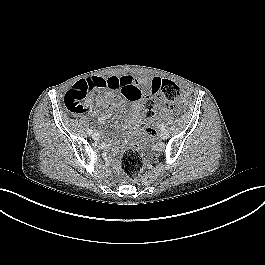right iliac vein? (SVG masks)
<instances>
[{
	"label": "right iliac vein",
	"mask_w": 265,
	"mask_h": 265,
	"mask_svg": "<svg viewBox=\"0 0 265 265\" xmlns=\"http://www.w3.org/2000/svg\"><path fill=\"white\" fill-rule=\"evenodd\" d=\"M92 138L95 139V140H98V139L100 138L99 133H94V134L92 135Z\"/></svg>",
	"instance_id": "obj_1"
}]
</instances>
